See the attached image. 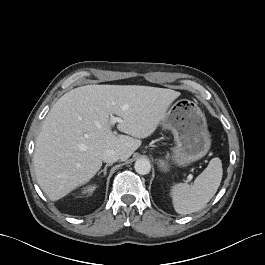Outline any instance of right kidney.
I'll return each instance as SVG.
<instances>
[{
  "label": "right kidney",
  "instance_id": "1",
  "mask_svg": "<svg viewBox=\"0 0 265 265\" xmlns=\"http://www.w3.org/2000/svg\"><path fill=\"white\" fill-rule=\"evenodd\" d=\"M95 188H96L95 186H88V187L84 188L82 193L93 192L95 190Z\"/></svg>",
  "mask_w": 265,
  "mask_h": 265
}]
</instances>
